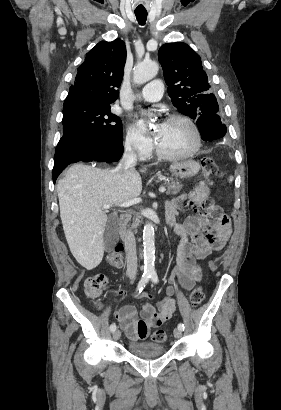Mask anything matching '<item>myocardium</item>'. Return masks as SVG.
<instances>
[{
	"instance_id": "1",
	"label": "myocardium",
	"mask_w": 281,
	"mask_h": 410,
	"mask_svg": "<svg viewBox=\"0 0 281 410\" xmlns=\"http://www.w3.org/2000/svg\"><path fill=\"white\" fill-rule=\"evenodd\" d=\"M166 121H182V122H185L186 124H188L193 130V133H194V136H195V144H194V147L188 152L180 153V154H171V153H168V152L164 151L159 146L157 141H155L154 146H155V151H156L157 155L160 156L161 158L167 159V160L186 159V158L194 156L200 150V148L202 146V135H201V131H200L198 125L189 116H186V115L180 114V113H175V114H172V115L168 116Z\"/></svg>"
}]
</instances>
